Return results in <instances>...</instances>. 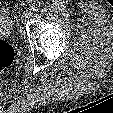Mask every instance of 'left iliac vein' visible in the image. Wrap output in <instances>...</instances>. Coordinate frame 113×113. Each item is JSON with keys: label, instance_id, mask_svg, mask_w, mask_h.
Masks as SVG:
<instances>
[{"label": "left iliac vein", "instance_id": "obj_1", "mask_svg": "<svg viewBox=\"0 0 113 113\" xmlns=\"http://www.w3.org/2000/svg\"><path fill=\"white\" fill-rule=\"evenodd\" d=\"M32 15H33V12H32L31 9L26 10V11L24 12L23 16H22V20H23V21H26V20H28L29 18H31Z\"/></svg>", "mask_w": 113, "mask_h": 113}]
</instances>
